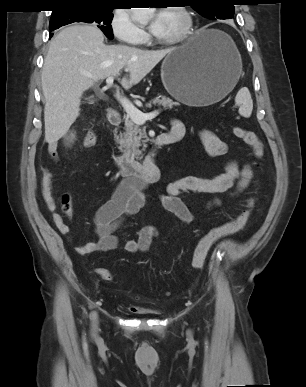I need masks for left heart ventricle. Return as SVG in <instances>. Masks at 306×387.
<instances>
[{"mask_svg":"<svg viewBox=\"0 0 306 387\" xmlns=\"http://www.w3.org/2000/svg\"><path fill=\"white\" fill-rule=\"evenodd\" d=\"M159 13L162 16V27L156 37L167 39L178 34L183 26L181 15L173 10H162Z\"/></svg>","mask_w":306,"mask_h":387,"instance_id":"b2bd125f","label":"left heart ventricle"}]
</instances>
